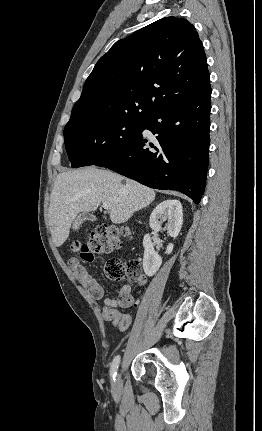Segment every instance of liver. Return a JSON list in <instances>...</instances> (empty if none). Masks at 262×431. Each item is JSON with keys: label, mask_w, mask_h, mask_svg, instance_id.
I'll return each instance as SVG.
<instances>
[{"label": "liver", "mask_w": 262, "mask_h": 431, "mask_svg": "<svg viewBox=\"0 0 262 431\" xmlns=\"http://www.w3.org/2000/svg\"><path fill=\"white\" fill-rule=\"evenodd\" d=\"M154 199V190L109 170L91 166L62 172L54 182L48 211L53 242L61 246L76 216L96 210L101 202L111 204L110 220L120 224Z\"/></svg>", "instance_id": "obj_1"}]
</instances>
